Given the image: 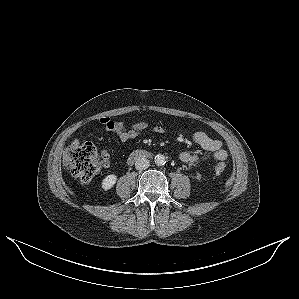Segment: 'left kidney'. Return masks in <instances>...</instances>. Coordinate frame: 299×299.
I'll return each mask as SVG.
<instances>
[{
  "instance_id": "left-kidney-1",
  "label": "left kidney",
  "mask_w": 299,
  "mask_h": 299,
  "mask_svg": "<svg viewBox=\"0 0 299 299\" xmlns=\"http://www.w3.org/2000/svg\"><path fill=\"white\" fill-rule=\"evenodd\" d=\"M195 178H196L198 181H201L203 177H202V175H201L200 173H196Z\"/></svg>"
}]
</instances>
